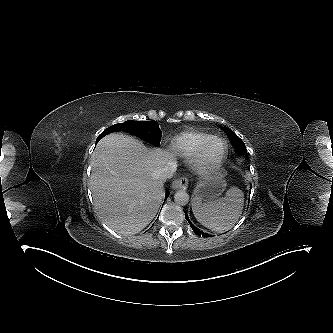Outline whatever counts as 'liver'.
Returning a JSON list of instances; mask_svg holds the SVG:
<instances>
[{"label":"liver","mask_w":333,"mask_h":333,"mask_svg":"<svg viewBox=\"0 0 333 333\" xmlns=\"http://www.w3.org/2000/svg\"><path fill=\"white\" fill-rule=\"evenodd\" d=\"M174 154L148 149L121 133L101 139L91 156L90 188L101 220L122 235L144 229L164 197L159 170Z\"/></svg>","instance_id":"1"}]
</instances>
